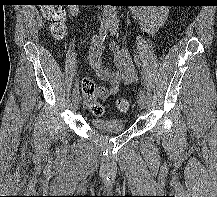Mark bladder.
<instances>
[{"label": "bladder", "instance_id": "bladder-1", "mask_svg": "<svg viewBox=\"0 0 217 197\" xmlns=\"http://www.w3.org/2000/svg\"><path fill=\"white\" fill-rule=\"evenodd\" d=\"M92 126L105 134H116L125 131V124L120 118L93 119Z\"/></svg>", "mask_w": 217, "mask_h": 197}]
</instances>
